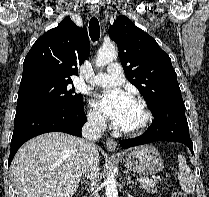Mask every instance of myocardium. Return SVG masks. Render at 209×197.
I'll return each mask as SVG.
<instances>
[{
	"label": "myocardium",
	"mask_w": 209,
	"mask_h": 197,
	"mask_svg": "<svg viewBox=\"0 0 209 197\" xmlns=\"http://www.w3.org/2000/svg\"><path fill=\"white\" fill-rule=\"evenodd\" d=\"M137 104L139 105V107L142 110L143 120L138 126H136L134 128L121 130L122 133L129 135V136H136V135H140V134L144 133L150 127V125L153 121V115H152L150 109L148 108L146 102L142 99H138Z\"/></svg>",
	"instance_id": "f54148a6"
}]
</instances>
